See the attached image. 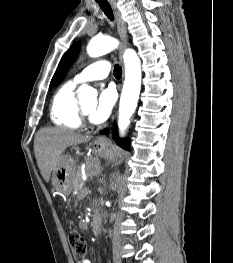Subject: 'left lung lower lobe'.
Instances as JSON below:
<instances>
[{
  "label": "left lung lower lobe",
  "instance_id": "left-lung-lower-lobe-1",
  "mask_svg": "<svg viewBox=\"0 0 233 263\" xmlns=\"http://www.w3.org/2000/svg\"><path fill=\"white\" fill-rule=\"evenodd\" d=\"M108 130H105V131H103L102 133H104V134H108ZM112 135H113V139L116 141V143L119 145V146H121L122 148H124V149H129V142H128V140H126V139H124V140H120L119 138H118V130H117V127H115L114 129H113V132H112Z\"/></svg>",
  "mask_w": 233,
  "mask_h": 263
}]
</instances>
